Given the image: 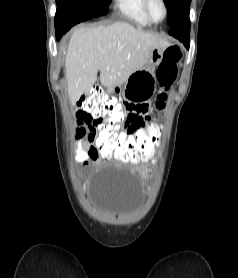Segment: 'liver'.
I'll return each instance as SVG.
<instances>
[{"label": "liver", "instance_id": "obj_1", "mask_svg": "<svg viewBox=\"0 0 238 278\" xmlns=\"http://www.w3.org/2000/svg\"><path fill=\"white\" fill-rule=\"evenodd\" d=\"M168 42L160 35L135 28L126 22L108 26L76 27L65 57V76L72 105L97 81L109 92L142 69L156 47L165 49Z\"/></svg>", "mask_w": 238, "mask_h": 278}]
</instances>
